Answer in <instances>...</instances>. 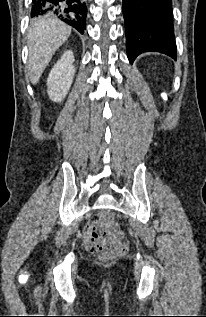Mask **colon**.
I'll use <instances>...</instances> for the list:
<instances>
[{
	"mask_svg": "<svg viewBox=\"0 0 206 317\" xmlns=\"http://www.w3.org/2000/svg\"><path fill=\"white\" fill-rule=\"evenodd\" d=\"M97 218L109 223L113 220V215L111 212H103ZM86 245L91 252L98 254L103 259L115 258L128 251V245L125 242H115L113 236L107 232L94 231Z\"/></svg>",
	"mask_w": 206,
	"mask_h": 317,
	"instance_id": "1",
	"label": "colon"
}]
</instances>
